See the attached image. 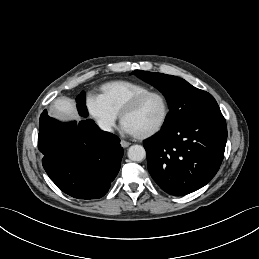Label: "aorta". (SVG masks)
<instances>
[{"label": "aorta", "mask_w": 259, "mask_h": 259, "mask_svg": "<svg viewBox=\"0 0 259 259\" xmlns=\"http://www.w3.org/2000/svg\"><path fill=\"white\" fill-rule=\"evenodd\" d=\"M128 158L131 161L140 162L146 157V151L141 145H132L128 149Z\"/></svg>", "instance_id": "obj_1"}]
</instances>
